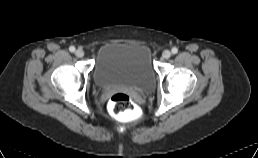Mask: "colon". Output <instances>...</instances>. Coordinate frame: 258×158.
<instances>
[{
    "mask_svg": "<svg viewBox=\"0 0 258 158\" xmlns=\"http://www.w3.org/2000/svg\"><path fill=\"white\" fill-rule=\"evenodd\" d=\"M133 100L127 93L117 92L108 102V109L113 116L125 118L133 111Z\"/></svg>",
    "mask_w": 258,
    "mask_h": 158,
    "instance_id": "obj_1",
    "label": "colon"
}]
</instances>
